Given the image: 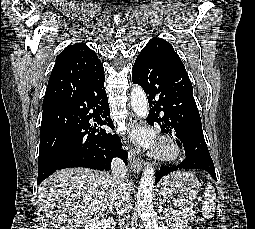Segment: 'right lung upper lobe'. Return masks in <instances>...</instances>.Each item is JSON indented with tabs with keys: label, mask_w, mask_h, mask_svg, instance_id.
<instances>
[{
	"label": "right lung upper lobe",
	"mask_w": 255,
	"mask_h": 229,
	"mask_svg": "<svg viewBox=\"0 0 255 229\" xmlns=\"http://www.w3.org/2000/svg\"><path fill=\"white\" fill-rule=\"evenodd\" d=\"M101 67H103L101 61L85 43H76L66 47L56 57L43 107L71 98L78 91L81 83Z\"/></svg>",
	"instance_id": "right-lung-upper-lobe-1"
}]
</instances>
